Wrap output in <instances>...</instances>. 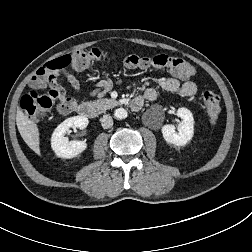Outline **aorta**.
I'll return each instance as SVG.
<instances>
[{"instance_id":"762f6f07","label":"aorta","mask_w":252,"mask_h":252,"mask_svg":"<svg viewBox=\"0 0 252 252\" xmlns=\"http://www.w3.org/2000/svg\"><path fill=\"white\" fill-rule=\"evenodd\" d=\"M114 116L117 119H125L128 116V113L125 109L119 108L115 110Z\"/></svg>"}]
</instances>
